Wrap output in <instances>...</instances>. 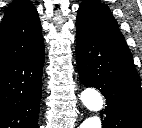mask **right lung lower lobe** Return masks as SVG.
Returning <instances> with one entry per match:
<instances>
[{
  "label": "right lung lower lobe",
  "mask_w": 142,
  "mask_h": 128,
  "mask_svg": "<svg viewBox=\"0 0 142 128\" xmlns=\"http://www.w3.org/2000/svg\"><path fill=\"white\" fill-rule=\"evenodd\" d=\"M44 43L0 67V128H38Z\"/></svg>",
  "instance_id": "obj_1"
}]
</instances>
